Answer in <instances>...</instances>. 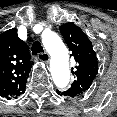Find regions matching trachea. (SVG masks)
Returning a JSON list of instances; mask_svg holds the SVG:
<instances>
[{
    "label": "trachea",
    "mask_w": 117,
    "mask_h": 117,
    "mask_svg": "<svg viewBox=\"0 0 117 117\" xmlns=\"http://www.w3.org/2000/svg\"><path fill=\"white\" fill-rule=\"evenodd\" d=\"M31 50H32L33 55L40 54V53L44 52L42 45L38 41H36L32 44Z\"/></svg>",
    "instance_id": "1"
}]
</instances>
